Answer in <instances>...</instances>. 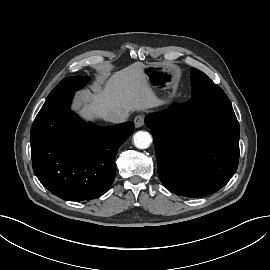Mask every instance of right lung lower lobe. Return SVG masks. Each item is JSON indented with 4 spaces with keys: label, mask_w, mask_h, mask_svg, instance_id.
<instances>
[{
    "label": "right lung lower lobe",
    "mask_w": 270,
    "mask_h": 270,
    "mask_svg": "<svg viewBox=\"0 0 270 270\" xmlns=\"http://www.w3.org/2000/svg\"><path fill=\"white\" fill-rule=\"evenodd\" d=\"M73 95L47 99L37 114L30 134L33 171L64 200L96 199L112 185L117 151L134 124L84 123L70 110Z\"/></svg>",
    "instance_id": "98d812e1"
}]
</instances>
